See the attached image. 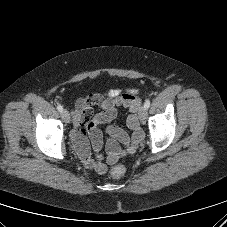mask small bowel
Listing matches in <instances>:
<instances>
[{
    "instance_id": "small-bowel-1",
    "label": "small bowel",
    "mask_w": 227,
    "mask_h": 227,
    "mask_svg": "<svg viewBox=\"0 0 227 227\" xmlns=\"http://www.w3.org/2000/svg\"><path fill=\"white\" fill-rule=\"evenodd\" d=\"M138 105L139 100L136 97V91L120 93L118 90H110L105 95L91 94L77 101L73 115L75 129L71 137L73 145L86 168L100 174L106 172L107 166L100 154L103 146L101 127L114 120L121 107L128 110L127 127L131 133L127 134L118 126L107 128L110 139L107 143L106 162L114 164L119 158L128 153H133L137 149L143 139V132L136 118ZM93 106H99L102 111L93 114ZM89 141L96 154L95 158L91 156ZM121 144L124 146L123 148Z\"/></svg>"
}]
</instances>
